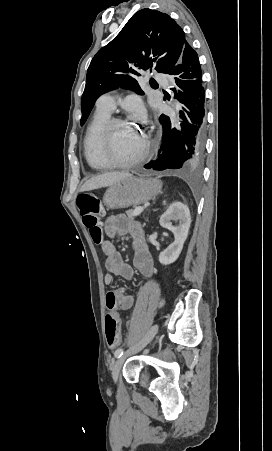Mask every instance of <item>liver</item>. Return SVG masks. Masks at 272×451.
Here are the masks:
<instances>
[{
  "label": "liver",
  "mask_w": 272,
  "mask_h": 451,
  "mask_svg": "<svg viewBox=\"0 0 272 451\" xmlns=\"http://www.w3.org/2000/svg\"><path fill=\"white\" fill-rule=\"evenodd\" d=\"M132 174H127V172H107V174H100V176H95V178H90L81 188V192H88V190H96V188H103V186H113L117 184L123 178H128Z\"/></svg>",
  "instance_id": "6515ba94"
}]
</instances>
